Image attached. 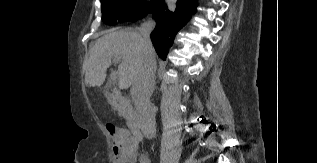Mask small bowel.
Segmentation results:
<instances>
[{"mask_svg": "<svg viewBox=\"0 0 317 163\" xmlns=\"http://www.w3.org/2000/svg\"><path fill=\"white\" fill-rule=\"evenodd\" d=\"M120 142V162L121 163H150L147 157L141 155L133 139L124 130H120L117 135V142Z\"/></svg>", "mask_w": 317, "mask_h": 163, "instance_id": "c3829d8e", "label": "small bowel"}]
</instances>
